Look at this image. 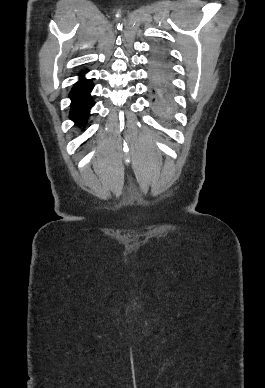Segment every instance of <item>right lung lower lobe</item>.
Returning <instances> with one entry per match:
<instances>
[{
    "instance_id": "right-lung-lower-lobe-1",
    "label": "right lung lower lobe",
    "mask_w": 265,
    "mask_h": 388,
    "mask_svg": "<svg viewBox=\"0 0 265 388\" xmlns=\"http://www.w3.org/2000/svg\"><path fill=\"white\" fill-rule=\"evenodd\" d=\"M94 87V84L87 79L77 82L70 91L69 97L71 102L70 119L76 124L85 125L88 119L90 108L93 105V100L89 95Z\"/></svg>"
}]
</instances>
